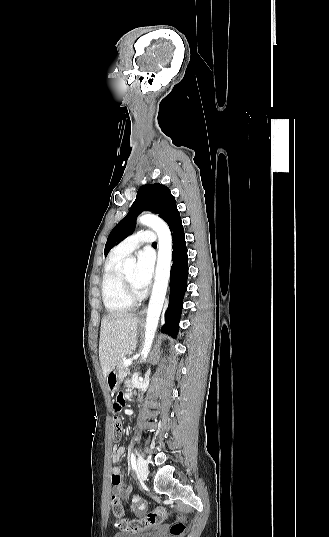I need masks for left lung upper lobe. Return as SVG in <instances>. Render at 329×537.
I'll use <instances>...</instances> for the list:
<instances>
[{
	"label": "left lung upper lobe",
	"mask_w": 329,
	"mask_h": 537,
	"mask_svg": "<svg viewBox=\"0 0 329 537\" xmlns=\"http://www.w3.org/2000/svg\"><path fill=\"white\" fill-rule=\"evenodd\" d=\"M145 211L158 214L169 225L171 233L182 224L175 198L169 188L159 183L143 185L128 214L110 232L104 249L105 256L132 232L137 216Z\"/></svg>",
	"instance_id": "1"
}]
</instances>
